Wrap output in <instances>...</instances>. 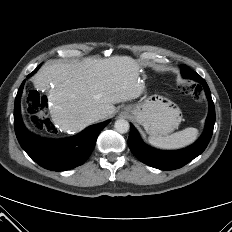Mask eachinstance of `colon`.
Listing matches in <instances>:
<instances>
[{
  "instance_id": "obj_1",
  "label": "colon",
  "mask_w": 232,
  "mask_h": 232,
  "mask_svg": "<svg viewBox=\"0 0 232 232\" xmlns=\"http://www.w3.org/2000/svg\"><path fill=\"white\" fill-rule=\"evenodd\" d=\"M180 90L190 95L194 100H202V90L192 83H182ZM27 106L30 114V120L35 127H42L45 123V110L47 106V100L39 92L31 90L27 95Z\"/></svg>"
}]
</instances>
